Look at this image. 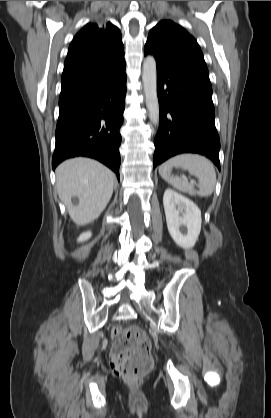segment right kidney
I'll use <instances>...</instances> for the list:
<instances>
[{"label": "right kidney", "mask_w": 271, "mask_h": 418, "mask_svg": "<svg viewBox=\"0 0 271 418\" xmlns=\"http://www.w3.org/2000/svg\"><path fill=\"white\" fill-rule=\"evenodd\" d=\"M91 232L90 231H87V232H84V233H82L80 236H79V238L77 239V241L78 242H84V241H87L90 237H91Z\"/></svg>", "instance_id": "obj_1"}]
</instances>
